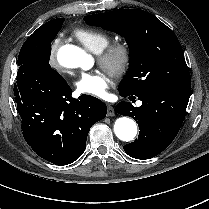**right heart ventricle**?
<instances>
[{
    "label": "right heart ventricle",
    "mask_w": 209,
    "mask_h": 209,
    "mask_svg": "<svg viewBox=\"0 0 209 209\" xmlns=\"http://www.w3.org/2000/svg\"><path fill=\"white\" fill-rule=\"evenodd\" d=\"M76 39L81 42L88 50L99 53L109 43L110 36L99 29L84 27L75 32Z\"/></svg>",
    "instance_id": "e07e8e85"
}]
</instances>
